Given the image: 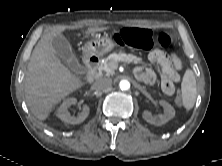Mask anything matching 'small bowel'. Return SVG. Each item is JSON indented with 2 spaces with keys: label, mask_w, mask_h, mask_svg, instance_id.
Instances as JSON below:
<instances>
[{
  "label": "small bowel",
  "mask_w": 222,
  "mask_h": 166,
  "mask_svg": "<svg viewBox=\"0 0 222 166\" xmlns=\"http://www.w3.org/2000/svg\"><path fill=\"white\" fill-rule=\"evenodd\" d=\"M150 59L157 63L162 69V89L165 94L172 95L174 93L173 82L179 80V71L182 69V62L177 55L169 57L164 52L156 50L150 54ZM134 74L137 79L153 84L156 80V76L151 69L138 67L135 69ZM169 79L172 84L169 86L165 85V81Z\"/></svg>",
  "instance_id": "small-bowel-1"
}]
</instances>
